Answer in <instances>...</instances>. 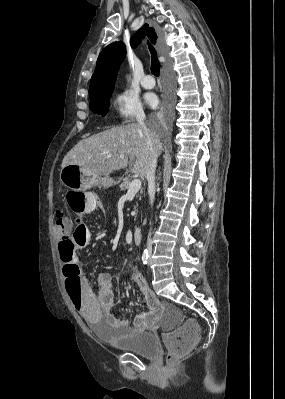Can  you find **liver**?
<instances>
[{"instance_id": "obj_1", "label": "liver", "mask_w": 285, "mask_h": 399, "mask_svg": "<svg viewBox=\"0 0 285 399\" xmlns=\"http://www.w3.org/2000/svg\"><path fill=\"white\" fill-rule=\"evenodd\" d=\"M157 141L158 156L162 151L159 136L147 129ZM147 137L145 129L138 123L113 127L79 141L64 157L61 167L78 165L95 177L109 175L113 171L130 165L131 172L146 177ZM124 155L121 158V155ZM130 159V160H129Z\"/></svg>"}]
</instances>
